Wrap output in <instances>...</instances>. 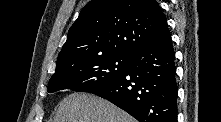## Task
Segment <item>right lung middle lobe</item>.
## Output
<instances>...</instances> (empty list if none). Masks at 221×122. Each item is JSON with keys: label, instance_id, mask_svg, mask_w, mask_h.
I'll list each match as a JSON object with an SVG mask.
<instances>
[{"label": "right lung middle lobe", "instance_id": "right-lung-middle-lobe-1", "mask_svg": "<svg viewBox=\"0 0 221 122\" xmlns=\"http://www.w3.org/2000/svg\"><path fill=\"white\" fill-rule=\"evenodd\" d=\"M130 60V56L107 55L71 66L51 77L48 92L68 89L91 93L123 74Z\"/></svg>", "mask_w": 221, "mask_h": 122}]
</instances>
